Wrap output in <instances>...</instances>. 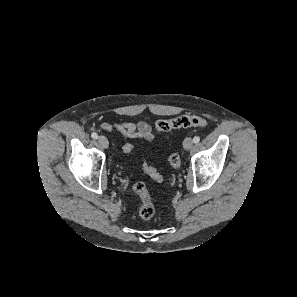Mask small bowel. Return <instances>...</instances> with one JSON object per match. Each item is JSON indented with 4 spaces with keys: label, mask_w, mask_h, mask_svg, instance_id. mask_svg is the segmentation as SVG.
<instances>
[{
    "label": "small bowel",
    "mask_w": 297,
    "mask_h": 297,
    "mask_svg": "<svg viewBox=\"0 0 297 297\" xmlns=\"http://www.w3.org/2000/svg\"><path fill=\"white\" fill-rule=\"evenodd\" d=\"M100 128L107 132H118L124 138H143L146 140H152L154 138V131L150 125L145 122L133 123L129 121L120 122H103L100 124Z\"/></svg>",
    "instance_id": "1"
}]
</instances>
